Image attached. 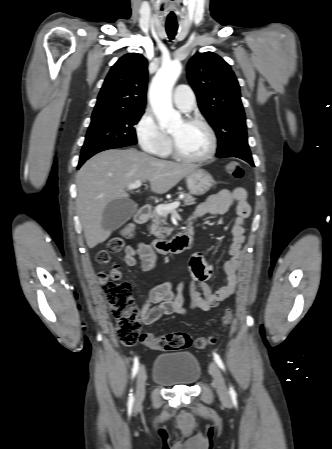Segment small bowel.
Returning <instances> with one entry per match:
<instances>
[{
  "label": "small bowel",
  "mask_w": 332,
  "mask_h": 449,
  "mask_svg": "<svg viewBox=\"0 0 332 449\" xmlns=\"http://www.w3.org/2000/svg\"><path fill=\"white\" fill-rule=\"evenodd\" d=\"M231 207L235 208L237 216L231 230L233 238L230 246L231 259L225 265L226 283L219 289L212 290L206 284L212 274V266L202 253L193 254L190 258L189 273L186 277V280L189 281V309L191 310L208 311L235 293L238 283L237 273L243 263L241 248L245 241V223L251 213L246 191L242 188L219 191L197 206L192 220L206 214L220 215ZM137 257L143 271H153L157 267L158 256L149 244L139 243L136 247L126 246L124 259L126 265L134 267L137 264ZM119 275L121 278V269ZM186 312L187 308L184 307V299L181 293L174 294L171 283L163 282L149 290L141 307V320L143 324L150 325L162 316L174 313L185 314Z\"/></svg>",
  "instance_id": "c3829d8e"
}]
</instances>
